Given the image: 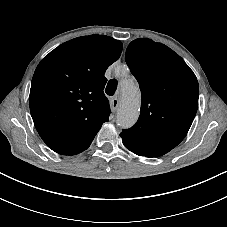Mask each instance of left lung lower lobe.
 <instances>
[{
	"instance_id": "left-lung-lower-lobe-1",
	"label": "left lung lower lobe",
	"mask_w": 227,
	"mask_h": 227,
	"mask_svg": "<svg viewBox=\"0 0 227 227\" xmlns=\"http://www.w3.org/2000/svg\"><path fill=\"white\" fill-rule=\"evenodd\" d=\"M130 151L134 152L135 154L137 155H145L146 157H158V155L152 153V152H149V151H144V150H138V149H134V148H131V147H127Z\"/></svg>"
}]
</instances>
